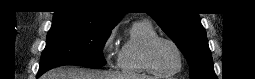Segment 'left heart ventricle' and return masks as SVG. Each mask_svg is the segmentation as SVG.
<instances>
[{
	"mask_svg": "<svg viewBox=\"0 0 255 79\" xmlns=\"http://www.w3.org/2000/svg\"><path fill=\"white\" fill-rule=\"evenodd\" d=\"M152 61L162 71H173L178 67L179 57L171 44L161 41L152 50Z\"/></svg>",
	"mask_w": 255,
	"mask_h": 79,
	"instance_id": "obj_1",
	"label": "left heart ventricle"
}]
</instances>
